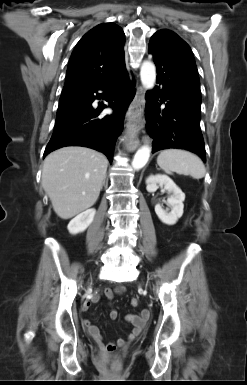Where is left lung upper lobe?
<instances>
[{"instance_id": "1", "label": "left lung upper lobe", "mask_w": 247, "mask_h": 385, "mask_svg": "<svg viewBox=\"0 0 247 385\" xmlns=\"http://www.w3.org/2000/svg\"><path fill=\"white\" fill-rule=\"evenodd\" d=\"M152 37L161 39L169 53L199 80L193 53L184 40L174 32L166 29L159 30Z\"/></svg>"}]
</instances>
